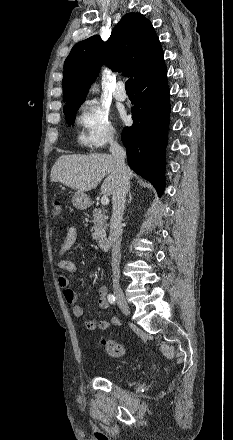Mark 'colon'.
<instances>
[{"mask_svg": "<svg viewBox=\"0 0 233 440\" xmlns=\"http://www.w3.org/2000/svg\"><path fill=\"white\" fill-rule=\"evenodd\" d=\"M52 217L59 218L63 214V206L61 201L55 200L51 205ZM98 345L103 347L107 353L113 357H122L125 354V348L112 339H102Z\"/></svg>", "mask_w": 233, "mask_h": 440, "instance_id": "obj_1", "label": "colon"}]
</instances>
